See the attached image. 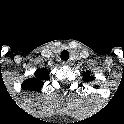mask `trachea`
Here are the masks:
<instances>
[{
  "label": "trachea",
  "instance_id": "obj_1",
  "mask_svg": "<svg viewBox=\"0 0 124 124\" xmlns=\"http://www.w3.org/2000/svg\"><path fill=\"white\" fill-rule=\"evenodd\" d=\"M61 60L67 61L69 59V52L67 50H63L60 55Z\"/></svg>",
  "mask_w": 124,
  "mask_h": 124
}]
</instances>
